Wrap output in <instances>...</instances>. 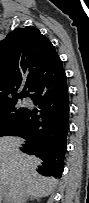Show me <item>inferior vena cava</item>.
Here are the masks:
<instances>
[{
  "mask_svg": "<svg viewBox=\"0 0 89 203\" xmlns=\"http://www.w3.org/2000/svg\"><path fill=\"white\" fill-rule=\"evenodd\" d=\"M18 203H25V198H20Z\"/></svg>",
  "mask_w": 89,
  "mask_h": 203,
  "instance_id": "1",
  "label": "inferior vena cava"
}]
</instances>
